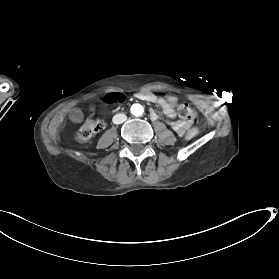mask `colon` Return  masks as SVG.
<instances>
[{"mask_svg":"<svg viewBox=\"0 0 279 279\" xmlns=\"http://www.w3.org/2000/svg\"><path fill=\"white\" fill-rule=\"evenodd\" d=\"M124 100L125 97L121 93H110L104 97V102L106 104L121 103ZM178 114L182 119L189 122H195L197 119L196 112L185 103L178 106ZM103 125V121L100 118L90 119L79 127V129L76 131L75 138L81 142L87 141L100 132L103 128ZM198 134L199 130L197 128H192L188 131L186 138L191 140L194 139Z\"/></svg>","mask_w":279,"mask_h":279,"instance_id":"colon-1","label":"colon"}]
</instances>
